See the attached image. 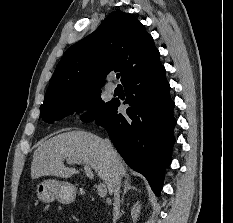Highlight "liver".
Masks as SVG:
<instances>
[{"instance_id": "6515ba94", "label": "liver", "mask_w": 233, "mask_h": 223, "mask_svg": "<svg viewBox=\"0 0 233 223\" xmlns=\"http://www.w3.org/2000/svg\"><path fill=\"white\" fill-rule=\"evenodd\" d=\"M111 157L106 151L104 139L89 131H66L58 133L46 141H40L33 153L31 161V177L41 175H56V177H71L79 171L75 167H67L64 163H86L94 169L96 175L106 183L109 195H112V179L114 177V165H118L120 175H127L123 161L117 153Z\"/></svg>"}]
</instances>
